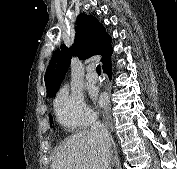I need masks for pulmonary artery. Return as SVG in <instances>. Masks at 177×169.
<instances>
[{"label": "pulmonary artery", "instance_id": "pulmonary-artery-1", "mask_svg": "<svg viewBox=\"0 0 177 169\" xmlns=\"http://www.w3.org/2000/svg\"><path fill=\"white\" fill-rule=\"evenodd\" d=\"M98 79V75L94 72V66L92 64L89 65L86 73V80L89 83H96Z\"/></svg>", "mask_w": 177, "mask_h": 169}]
</instances>
